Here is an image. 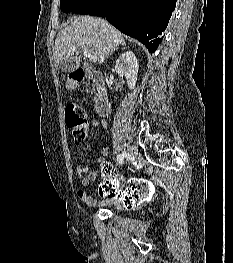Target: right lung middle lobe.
<instances>
[{
  "label": "right lung middle lobe",
  "mask_w": 233,
  "mask_h": 263,
  "mask_svg": "<svg viewBox=\"0 0 233 263\" xmlns=\"http://www.w3.org/2000/svg\"><path fill=\"white\" fill-rule=\"evenodd\" d=\"M101 0H60V7L64 12L88 14Z\"/></svg>",
  "instance_id": "obj_1"
}]
</instances>
